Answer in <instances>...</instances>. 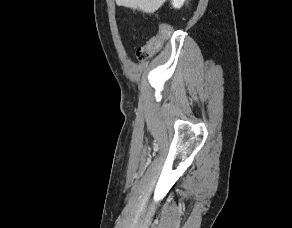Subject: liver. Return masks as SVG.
I'll return each instance as SVG.
<instances>
[{
	"label": "liver",
	"instance_id": "liver-1",
	"mask_svg": "<svg viewBox=\"0 0 292 228\" xmlns=\"http://www.w3.org/2000/svg\"><path fill=\"white\" fill-rule=\"evenodd\" d=\"M119 6L138 9L145 13H154L166 0H115Z\"/></svg>",
	"mask_w": 292,
	"mask_h": 228
}]
</instances>
